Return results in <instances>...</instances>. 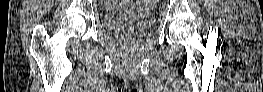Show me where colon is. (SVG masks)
<instances>
[{
	"label": "colon",
	"instance_id": "obj_1",
	"mask_svg": "<svg viewBox=\"0 0 263 92\" xmlns=\"http://www.w3.org/2000/svg\"><path fill=\"white\" fill-rule=\"evenodd\" d=\"M112 2H109L108 4L111 5Z\"/></svg>",
	"mask_w": 263,
	"mask_h": 92
}]
</instances>
